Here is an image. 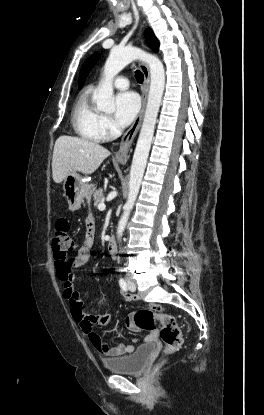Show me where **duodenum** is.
I'll return each instance as SVG.
<instances>
[{
    "label": "duodenum",
    "instance_id": "410a0bca",
    "mask_svg": "<svg viewBox=\"0 0 264 415\" xmlns=\"http://www.w3.org/2000/svg\"><path fill=\"white\" fill-rule=\"evenodd\" d=\"M106 246H107V250L109 254L111 256H114L116 254L117 248H116V241L113 236L108 237V239L106 240Z\"/></svg>",
    "mask_w": 264,
    "mask_h": 415
}]
</instances>
